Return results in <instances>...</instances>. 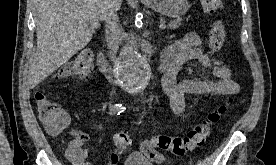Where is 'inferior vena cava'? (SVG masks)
Here are the masks:
<instances>
[{"instance_id": "inferior-vena-cava-1", "label": "inferior vena cava", "mask_w": 276, "mask_h": 165, "mask_svg": "<svg viewBox=\"0 0 276 165\" xmlns=\"http://www.w3.org/2000/svg\"><path fill=\"white\" fill-rule=\"evenodd\" d=\"M105 39L107 47L110 49L111 59L113 60L118 48V37L121 33V26L116 10L112 9L105 18Z\"/></svg>"}]
</instances>
